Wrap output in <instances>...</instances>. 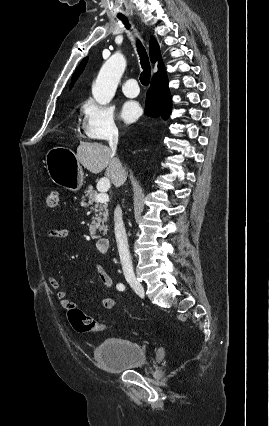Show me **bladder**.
Wrapping results in <instances>:
<instances>
[{
    "label": "bladder",
    "mask_w": 269,
    "mask_h": 426,
    "mask_svg": "<svg viewBox=\"0 0 269 426\" xmlns=\"http://www.w3.org/2000/svg\"><path fill=\"white\" fill-rule=\"evenodd\" d=\"M96 363L106 372L118 373L143 368L147 365L144 347L125 338H108L94 351Z\"/></svg>",
    "instance_id": "obj_1"
}]
</instances>
